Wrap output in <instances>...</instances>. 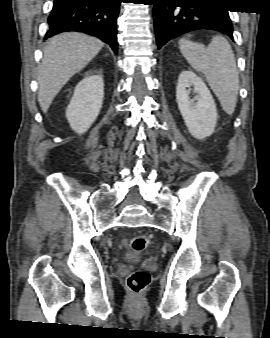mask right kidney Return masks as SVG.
<instances>
[{"label": "right kidney", "mask_w": 270, "mask_h": 338, "mask_svg": "<svg viewBox=\"0 0 270 338\" xmlns=\"http://www.w3.org/2000/svg\"><path fill=\"white\" fill-rule=\"evenodd\" d=\"M104 83L101 75H90L75 87L66 118L78 134L85 133L96 120L102 108Z\"/></svg>", "instance_id": "ca27d5eb"}]
</instances>
